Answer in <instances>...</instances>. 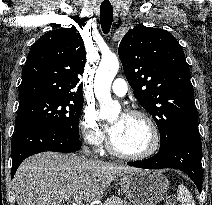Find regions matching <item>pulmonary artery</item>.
<instances>
[{
    "instance_id": "e3ab8cb5",
    "label": "pulmonary artery",
    "mask_w": 212,
    "mask_h": 205,
    "mask_svg": "<svg viewBox=\"0 0 212 205\" xmlns=\"http://www.w3.org/2000/svg\"><path fill=\"white\" fill-rule=\"evenodd\" d=\"M112 91L117 96H124L128 91L126 81L121 78L116 79L112 84Z\"/></svg>"
}]
</instances>
